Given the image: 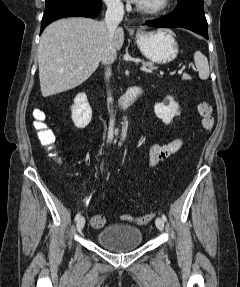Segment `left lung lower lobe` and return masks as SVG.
Here are the masks:
<instances>
[{
  "label": "left lung lower lobe",
  "mask_w": 240,
  "mask_h": 287,
  "mask_svg": "<svg viewBox=\"0 0 240 287\" xmlns=\"http://www.w3.org/2000/svg\"><path fill=\"white\" fill-rule=\"evenodd\" d=\"M151 27H181L208 39V24L204 14L203 0H178L177 7L169 15L146 21Z\"/></svg>",
  "instance_id": "1"
}]
</instances>
